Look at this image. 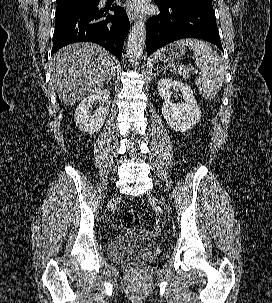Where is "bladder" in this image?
<instances>
[{
  "instance_id": "1",
  "label": "bladder",
  "mask_w": 272,
  "mask_h": 303,
  "mask_svg": "<svg viewBox=\"0 0 272 303\" xmlns=\"http://www.w3.org/2000/svg\"><path fill=\"white\" fill-rule=\"evenodd\" d=\"M156 236L148 230L128 228L108 243L109 257L118 262L150 261L160 254Z\"/></svg>"
}]
</instances>
